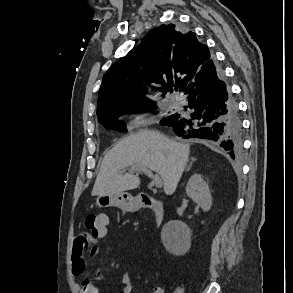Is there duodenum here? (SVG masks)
I'll list each match as a JSON object with an SVG mask.
<instances>
[{
	"mask_svg": "<svg viewBox=\"0 0 293 293\" xmlns=\"http://www.w3.org/2000/svg\"><path fill=\"white\" fill-rule=\"evenodd\" d=\"M138 206L140 208H150L153 211L154 222L159 226L164 220V209L162 203L149 194H143L138 197Z\"/></svg>",
	"mask_w": 293,
	"mask_h": 293,
	"instance_id": "obj_1",
	"label": "duodenum"
}]
</instances>
